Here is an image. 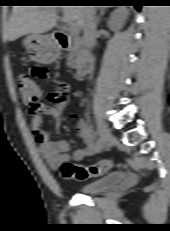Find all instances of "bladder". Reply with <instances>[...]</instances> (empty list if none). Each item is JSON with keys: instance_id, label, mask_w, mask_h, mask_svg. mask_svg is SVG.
I'll return each instance as SVG.
<instances>
[{"instance_id": "obj_1", "label": "bladder", "mask_w": 170, "mask_h": 231, "mask_svg": "<svg viewBox=\"0 0 170 231\" xmlns=\"http://www.w3.org/2000/svg\"><path fill=\"white\" fill-rule=\"evenodd\" d=\"M125 175L122 172H112L99 179L85 183L80 191L84 194L94 195L110 190L123 183Z\"/></svg>"}]
</instances>
